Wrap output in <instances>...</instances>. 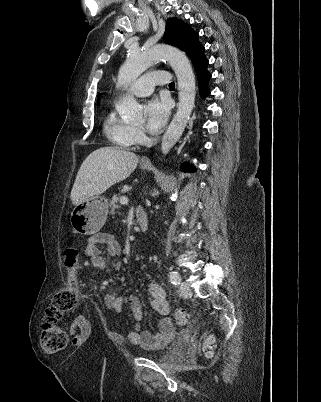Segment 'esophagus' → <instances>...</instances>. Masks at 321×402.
<instances>
[{"instance_id": "34e87169", "label": "esophagus", "mask_w": 321, "mask_h": 402, "mask_svg": "<svg viewBox=\"0 0 321 402\" xmlns=\"http://www.w3.org/2000/svg\"><path fill=\"white\" fill-rule=\"evenodd\" d=\"M141 163L150 165V164H151V161H150V159H149L148 157H143V158L141 159Z\"/></svg>"}]
</instances>
